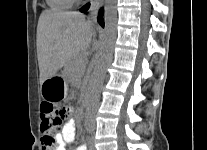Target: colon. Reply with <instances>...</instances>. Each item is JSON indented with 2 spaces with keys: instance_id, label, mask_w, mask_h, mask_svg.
<instances>
[{
  "instance_id": "1",
  "label": "colon",
  "mask_w": 207,
  "mask_h": 150,
  "mask_svg": "<svg viewBox=\"0 0 207 150\" xmlns=\"http://www.w3.org/2000/svg\"><path fill=\"white\" fill-rule=\"evenodd\" d=\"M69 108L63 105H55L53 102H45L41 107V131L43 133V149L55 150V134L60 130L67 119Z\"/></svg>"
}]
</instances>
